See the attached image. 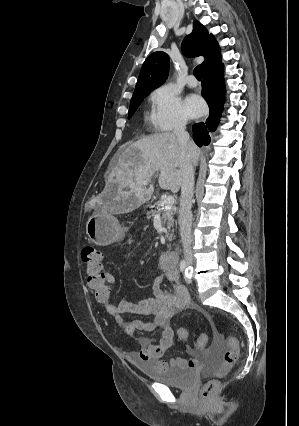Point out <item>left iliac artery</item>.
Segmentation results:
<instances>
[{"mask_svg": "<svg viewBox=\"0 0 299 426\" xmlns=\"http://www.w3.org/2000/svg\"><path fill=\"white\" fill-rule=\"evenodd\" d=\"M191 274H192V269L191 270H186L185 275L189 278H191Z\"/></svg>", "mask_w": 299, "mask_h": 426, "instance_id": "left-iliac-artery-1", "label": "left iliac artery"}]
</instances>
